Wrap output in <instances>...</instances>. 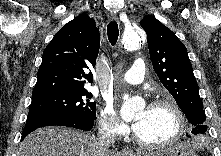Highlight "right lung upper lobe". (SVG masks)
<instances>
[{
	"mask_svg": "<svg viewBox=\"0 0 221 156\" xmlns=\"http://www.w3.org/2000/svg\"><path fill=\"white\" fill-rule=\"evenodd\" d=\"M99 47V30L92 18L81 14L68 22L43 52L32 99L86 89L93 82L89 69L96 64Z\"/></svg>",
	"mask_w": 221,
	"mask_h": 156,
	"instance_id": "right-lung-upper-lobe-1",
	"label": "right lung upper lobe"
}]
</instances>
